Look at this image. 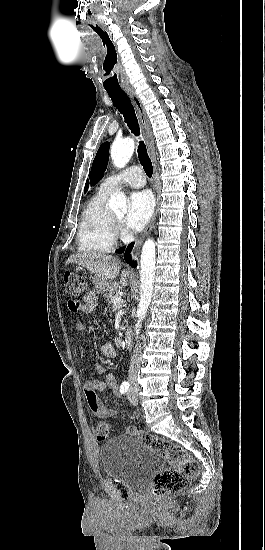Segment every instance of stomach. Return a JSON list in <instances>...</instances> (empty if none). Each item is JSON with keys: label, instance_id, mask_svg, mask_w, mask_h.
<instances>
[{"label": "stomach", "instance_id": "1", "mask_svg": "<svg viewBox=\"0 0 265 550\" xmlns=\"http://www.w3.org/2000/svg\"><path fill=\"white\" fill-rule=\"evenodd\" d=\"M109 287H110V286H102V287H101V286L98 285L99 291H106V289H108Z\"/></svg>", "mask_w": 265, "mask_h": 550}]
</instances>
